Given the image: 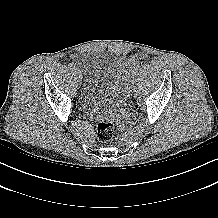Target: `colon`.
Here are the masks:
<instances>
[{
    "label": "colon",
    "instance_id": "colon-1",
    "mask_svg": "<svg viewBox=\"0 0 218 218\" xmlns=\"http://www.w3.org/2000/svg\"><path fill=\"white\" fill-rule=\"evenodd\" d=\"M97 139L102 142L106 143L112 140L114 136V126L113 123L108 119L101 120L97 125Z\"/></svg>",
    "mask_w": 218,
    "mask_h": 218
}]
</instances>
